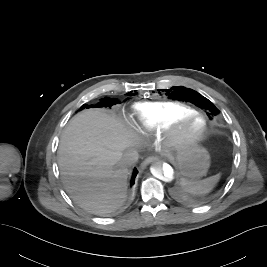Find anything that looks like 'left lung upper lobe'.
Here are the masks:
<instances>
[{
    "mask_svg": "<svg viewBox=\"0 0 267 267\" xmlns=\"http://www.w3.org/2000/svg\"><path fill=\"white\" fill-rule=\"evenodd\" d=\"M167 95L169 98L195 103L196 105L207 109L209 114L212 116H216L219 113V110L214 106V104L199 94L197 89L194 87H172L167 92Z\"/></svg>",
    "mask_w": 267,
    "mask_h": 267,
    "instance_id": "left-lung-upper-lobe-1",
    "label": "left lung upper lobe"
}]
</instances>
